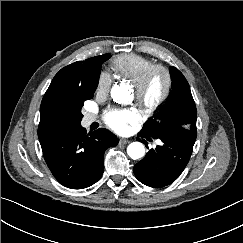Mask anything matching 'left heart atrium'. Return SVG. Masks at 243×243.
<instances>
[{
    "instance_id": "obj_1",
    "label": "left heart atrium",
    "mask_w": 243,
    "mask_h": 243,
    "mask_svg": "<svg viewBox=\"0 0 243 243\" xmlns=\"http://www.w3.org/2000/svg\"><path fill=\"white\" fill-rule=\"evenodd\" d=\"M137 120L136 111L130 109L111 111L105 117L107 125L119 133L126 132L128 125L136 123Z\"/></svg>"
}]
</instances>
